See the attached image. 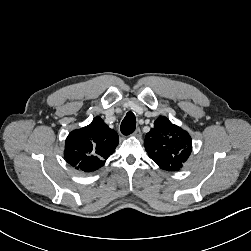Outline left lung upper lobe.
Instances as JSON below:
<instances>
[{
  "label": "left lung upper lobe",
  "instance_id": "5c2ea615",
  "mask_svg": "<svg viewBox=\"0 0 251 251\" xmlns=\"http://www.w3.org/2000/svg\"><path fill=\"white\" fill-rule=\"evenodd\" d=\"M144 146L149 157L167 171L180 169L192 150L190 135L163 116L146 134Z\"/></svg>",
  "mask_w": 251,
  "mask_h": 251
}]
</instances>
